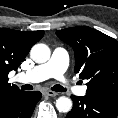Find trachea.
I'll list each match as a JSON object with an SVG mask.
<instances>
[{
	"label": "trachea",
	"instance_id": "1",
	"mask_svg": "<svg viewBox=\"0 0 118 118\" xmlns=\"http://www.w3.org/2000/svg\"><path fill=\"white\" fill-rule=\"evenodd\" d=\"M22 89H23V90H32L33 87H32L31 85H29V84H26V85H23V86H22ZM51 90L56 91V92H66V91H67V90H66L64 87H62L61 85H54V86L51 88Z\"/></svg>",
	"mask_w": 118,
	"mask_h": 118
}]
</instances>
